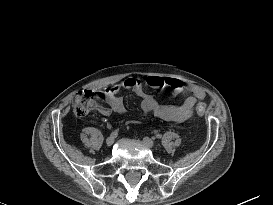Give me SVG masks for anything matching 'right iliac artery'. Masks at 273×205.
Returning <instances> with one entry per match:
<instances>
[{"label":"right iliac artery","instance_id":"1","mask_svg":"<svg viewBox=\"0 0 273 205\" xmlns=\"http://www.w3.org/2000/svg\"><path fill=\"white\" fill-rule=\"evenodd\" d=\"M117 135H118V131H117V130H115V131H113V132L111 133V136L116 137Z\"/></svg>","mask_w":273,"mask_h":205}]
</instances>
